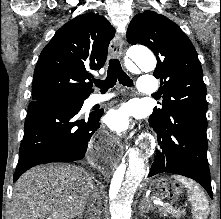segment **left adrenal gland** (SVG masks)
Returning a JSON list of instances; mask_svg holds the SVG:
<instances>
[{
	"label": "left adrenal gland",
	"mask_w": 221,
	"mask_h": 219,
	"mask_svg": "<svg viewBox=\"0 0 221 219\" xmlns=\"http://www.w3.org/2000/svg\"><path fill=\"white\" fill-rule=\"evenodd\" d=\"M139 210L141 213V216H143L144 213H148L149 210H151L150 205H148L147 203L142 202L139 206Z\"/></svg>",
	"instance_id": "left-adrenal-gland-1"
}]
</instances>
